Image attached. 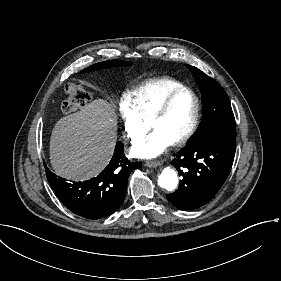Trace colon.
I'll use <instances>...</instances> for the list:
<instances>
[{
	"label": "colon",
	"mask_w": 281,
	"mask_h": 281,
	"mask_svg": "<svg viewBox=\"0 0 281 281\" xmlns=\"http://www.w3.org/2000/svg\"><path fill=\"white\" fill-rule=\"evenodd\" d=\"M67 97L62 104V110L66 114H72L85 107L91 99L90 93L79 84L71 83L66 87Z\"/></svg>",
	"instance_id": "colon-1"
}]
</instances>
